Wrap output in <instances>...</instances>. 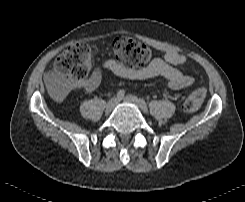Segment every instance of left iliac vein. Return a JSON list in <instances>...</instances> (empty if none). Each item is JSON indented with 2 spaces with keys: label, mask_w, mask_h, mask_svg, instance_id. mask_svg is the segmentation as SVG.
I'll return each mask as SVG.
<instances>
[{
  "label": "left iliac vein",
  "mask_w": 245,
  "mask_h": 202,
  "mask_svg": "<svg viewBox=\"0 0 245 202\" xmlns=\"http://www.w3.org/2000/svg\"><path fill=\"white\" fill-rule=\"evenodd\" d=\"M123 101L126 102V103H131V104H134L136 105L138 108L142 109L141 108V105H140V101L139 99L134 96V95H127L123 98Z\"/></svg>",
  "instance_id": "1"
}]
</instances>
